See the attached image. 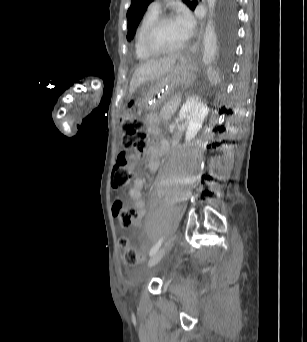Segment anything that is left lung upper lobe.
<instances>
[{
  "label": "left lung upper lobe",
  "instance_id": "obj_1",
  "mask_svg": "<svg viewBox=\"0 0 307 342\" xmlns=\"http://www.w3.org/2000/svg\"><path fill=\"white\" fill-rule=\"evenodd\" d=\"M153 0H131V6L127 11L128 35L127 39L131 40L136 27L145 13L147 6ZM192 10L196 7L197 2H189L183 0ZM235 8L234 0H220L218 23H219V44L221 50L228 54L232 50L233 40L235 37Z\"/></svg>",
  "mask_w": 307,
  "mask_h": 342
}]
</instances>
